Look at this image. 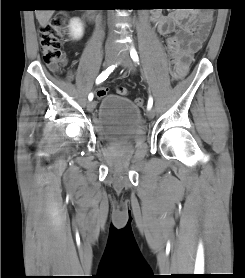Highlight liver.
I'll use <instances>...</instances> for the list:
<instances>
[{
	"label": "liver",
	"mask_w": 245,
	"mask_h": 278,
	"mask_svg": "<svg viewBox=\"0 0 245 278\" xmlns=\"http://www.w3.org/2000/svg\"><path fill=\"white\" fill-rule=\"evenodd\" d=\"M54 10H36L35 15L42 27H45L52 17Z\"/></svg>",
	"instance_id": "1"
}]
</instances>
